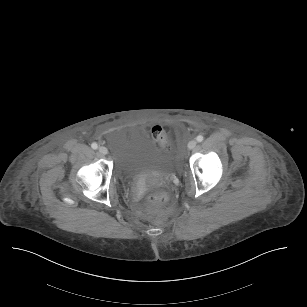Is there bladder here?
Instances as JSON below:
<instances>
[{
	"label": "bladder",
	"mask_w": 307,
	"mask_h": 307,
	"mask_svg": "<svg viewBox=\"0 0 307 307\" xmlns=\"http://www.w3.org/2000/svg\"><path fill=\"white\" fill-rule=\"evenodd\" d=\"M174 158L167 149L153 144H139L126 149L120 156L119 170L126 179L145 176L157 166H173Z\"/></svg>",
	"instance_id": "31cf9c89"
}]
</instances>
